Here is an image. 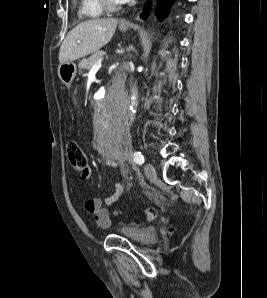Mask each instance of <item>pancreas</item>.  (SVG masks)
Segmentation results:
<instances>
[{
    "label": "pancreas",
    "mask_w": 267,
    "mask_h": 298,
    "mask_svg": "<svg viewBox=\"0 0 267 298\" xmlns=\"http://www.w3.org/2000/svg\"><path fill=\"white\" fill-rule=\"evenodd\" d=\"M104 56V52L103 51H96L94 52L92 55H90L88 58L83 59L80 63H79V69H90L93 64L100 60L102 57Z\"/></svg>",
    "instance_id": "obj_1"
}]
</instances>
